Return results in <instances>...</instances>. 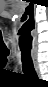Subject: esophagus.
Masks as SVG:
<instances>
[{
  "mask_svg": "<svg viewBox=\"0 0 48 87\" xmlns=\"http://www.w3.org/2000/svg\"><path fill=\"white\" fill-rule=\"evenodd\" d=\"M31 56H32V60H33V64H34V68L36 70V73H37L38 76H40V70H39L37 53L36 52H32Z\"/></svg>",
  "mask_w": 48,
  "mask_h": 87,
  "instance_id": "34e87169",
  "label": "esophagus"
}]
</instances>
